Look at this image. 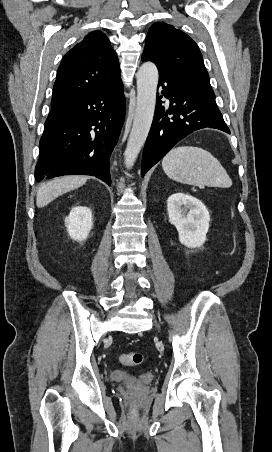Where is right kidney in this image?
I'll list each match as a JSON object with an SVG mask.
<instances>
[{"label":"right kidney","instance_id":"obj_1","mask_svg":"<svg viewBox=\"0 0 272 452\" xmlns=\"http://www.w3.org/2000/svg\"><path fill=\"white\" fill-rule=\"evenodd\" d=\"M69 236L76 241L85 240L93 227L92 211L85 206L73 207L65 219Z\"/></svg>","mask_w":272,"mask_h":452}]
</instances>
